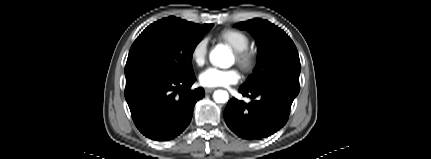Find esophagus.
<instances>
[{
    "label": "esophagus",
    "mask_w": 431,
    "mask_h": 159,
    "mask_svg": "<svg viewBox=\"0 0 431 159\" xmlns=\"http://www.w3.org/2000/svg\"><path fill=\"white\" fill-rule=\"evenodd\" d=\"M214 90V88H205L206 93H212Z\"/></svg>",
    "instance_id": "34e87169"
}]
</instances>
